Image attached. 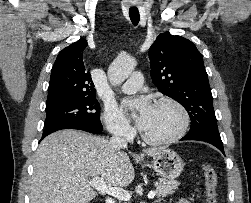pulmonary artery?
I'll return each mask as SVG.
<instances>
[{
    "label": "pulmonary artery",
    "mask_w": 251,
    "mask_h": 203,
    "mask_svg": "<svg viewBox=\"0 0 251 203\" xmlns=\"http://www.w3.org/2000/svg\"><path fill=\"white\" fill-rule=\"evenodd\" d=\"M143 84V75L135 72L122 84L121 90L125 93H134L138 91Z\"/></svg>",
    "instance_id": "pulmonary-artery-1"
}]
</instances>
